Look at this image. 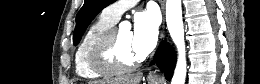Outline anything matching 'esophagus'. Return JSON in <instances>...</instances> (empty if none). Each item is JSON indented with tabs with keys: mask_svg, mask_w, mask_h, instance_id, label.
I'll return each mask as SVG.
<instances>
[{
	"mask_svg": "<svg viewBox=\"0 0 260 84\" xmlns=\"http://www.w3.org/2000/svg\"><path fill=\"white\" fill-rule=\"evenodd\" d=\"M160 4H161V9H162V12L164 13V9H165V0H160ZM162 37L164 38V34L162 35ZM148 78L150 80H158L161 78V75H160V72L158 69H155L154 71H151L148 75Z\"/></svg>",
	"mask_w": 260,
	"mask_h": 84,
	"instance_id": "obj_1",
	"label": "esophagus"
}]
</instances>
